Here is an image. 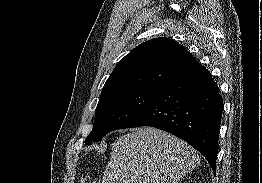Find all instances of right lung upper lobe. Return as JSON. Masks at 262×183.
<instances>
[{"instance_id": "cb5924a9", "label": "right lung upper lobe", "mask_w": 262, "mask_h": 183, "mask_svg": "<svg viewBox=\"0 0 262 183\" xmlns=\"http://www.w3.org/2000/svg\"><path fill=\"white\" fill-rule=\"evenodd\" d=\"M201 66L176 41L164 37L151 39L121 59L107 79L101 96L132 89L159 90Z\"/></svg>"}]
</instances>
